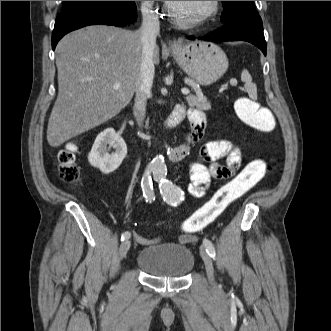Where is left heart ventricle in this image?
I'll return each mask as SVG.
<instances>
[{
  "instance_id": "left-heart-ventricle-1",
  "label": "left heart ventricle",
  "mask_w": 331,
  "mask_h": 331,
  "mask_svg": "<svg viewBox=\"0 0 331 331\" xmlns=\"http://www.w3.org/2000/svg\"><path fill=\"white\" fill-rule=\"evenodd\" d=\"M170 5L179 18L190 19L206 12L210 7V1H175Z\"/></svg>"
}]
</instances>
